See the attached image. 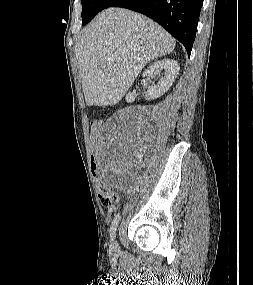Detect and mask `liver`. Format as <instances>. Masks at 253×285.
Wrapping results in <instances>:
<instances>
[{"label": "liver", "instance_id": "liver-1", "mask_svg": "<svg viewBox=\"0 0 253 285\" xmlns=\"http://www.w3.org/2000/svg\"><path fill=\"white\" fill-rule=\"evenodd\" d=\"M175 46L174 38L144 15L122 8L101 12L75 48L87 106L118 103L145 64Z\"/></svg>", "mask_w": 253, "mask_h": 285}]
</instances>
